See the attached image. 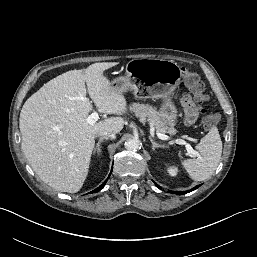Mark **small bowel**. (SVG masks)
Segmentation results:
<instances>
[{
    "label": "small bowel",
    "instance_id": "small-bowel-1",
    "mask_svg": "<svg viewBox=\"0 0 257 257\" xmlns=\"http://www.w3.org/2000/svg\"><path fill=\"white\" fill-rule=\"evenodd\" d=\"M181 103L184 108L185 122L187 124L194 123L197 118L198 111L192 99L186 95L182 98Z\"/></svg>",
    "mask_w": 257,
    "mask_h": 257
}]
</instances>
